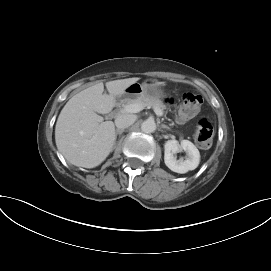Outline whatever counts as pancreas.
<instances>
[{"mask_svg":"<svg viewBox=\"0 0 271 271\" xmlns=\"http://www.w3.org/2000/svg\"><path fill=\"white\" fill-rule=\"evenodd\" d=\"M125 103H126V105L127 104H133V103H139L143 107L158 108L162 112L165 109V105L162 103V101H160L157 98L148 97V96H140V97H137L135 99H127L125 101Z\"/></svg>","mask_w":271,"mask_h":271,"instance_id":"cf45deb5","label":"pancreas"}]
</instances>
